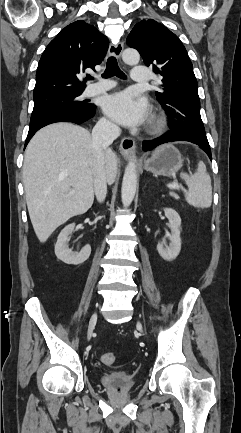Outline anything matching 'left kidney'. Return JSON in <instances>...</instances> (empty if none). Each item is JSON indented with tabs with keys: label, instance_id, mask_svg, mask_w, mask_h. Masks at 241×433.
<instances>
[{
	"label": "left kidney",
	"instance_id": "5707ae66",
	"mask_svg": "<svg viewBox=\"0 0 241 433\" xmlns=\"http://www.w3.org/2000/svg\"><path fill=\"white\" fill-rule=\"evenodd\" d=\"M164 212L165 216L169 221V227L171 230V234H168L166 236L167 238H169L170 243L169 245H166L165 240L158 243L157 251L165 261H173L179 255L181 250V218L179 214L171 208H165Z\"/></svg>",
	"mask_w": 241,
	"mask_h": 433
}]
</instances>
